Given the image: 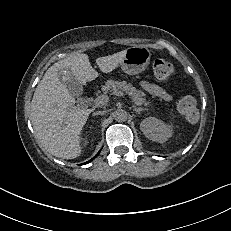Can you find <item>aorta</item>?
I'll use <instances>...</instances> for the list:
<instances>
[{"label": "aorta", "instance_id": "aorta-1", "mask_svg": "<svg viewBox=\"0 0 231 231\" xmlns=\"http://www.w3.org/2000/svg\"><path fill=\"white\" fill-rule=\"evenodd\" d=\"M127 118H128V114L123 109H119V110L115 111V113H114V119L117 122H125L127 120Z\"/></svg>", "mask_w": 231, "mask_h": 231}]
</instances>
